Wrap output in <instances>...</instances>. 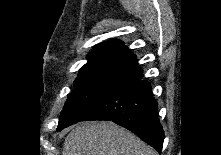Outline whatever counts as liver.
<instances>
[{
	"label": "liver",
	"mask_w": 221,
	"mask_h": 155,
	"mask_svg": "<svg viewBox=\"0 0 221 155\" xmlns=\"http://www.w3.org/2000/svg\"><path fill=\"white\" fill-rule=\"evenodd\" d=\"M62 155H157V152L113 122H84L67 135Z\"/></svg>",
	"instance_id": "6515ba94"
}]
</instances>
